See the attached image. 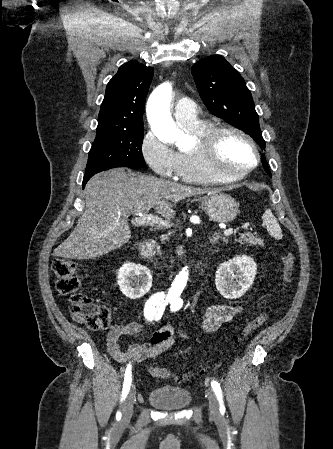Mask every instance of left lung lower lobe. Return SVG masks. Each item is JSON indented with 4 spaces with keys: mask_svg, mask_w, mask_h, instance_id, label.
I'll return each instance as SVG.
<instances>
[{
    "mask_svg": "<svg viewBox=\"0 0 333 449\" xmlns=\"http://www.w3.org/2000/svg\"><path fill=\"white\" fill-rule=\"evenodd\" d=\"M262 163H263L265 171L271 176V173H270V171L268 169V166H267V163H266V159H265L264 156L262 157Z\"/></svg>",
    "mask_w": 333,
    "mask_h": 449,
    "instance_id": "obj_1",
    "label": "left lung lower lobe"
}]
</instances>
